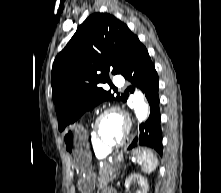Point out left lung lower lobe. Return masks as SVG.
I'll return each instance as SVG.
<instances>
[{
    "label": "left lung lower lobe",
    "instance_id": "obj_1",
    "mask_svg": "<svg viewBox=\"0 0 221 193\" xmlns=\"http://www.w3.org/2000/svg\"><path fill=\"white\" fill-rule=\"evenodd\" d=\"M121 75L132 82L131 92L134 91L135 87L142 90L150 105L149 118L140 125L139 134L128 149L141 146L150 147L162 155L161 115L158 95L159 79L148 51L140 41L135 46Z\"/></svg>",
    "mask_w": 221,
    "mask_h": 193
}]
</instances>
